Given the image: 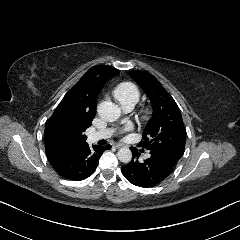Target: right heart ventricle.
Returning a JSON list of instances; mask_svg holds the SVG:
<instances>
[{"label": "right heart ventricle", "instance_id": "right-heart-ventricle-1", "mask_svg": "<svg viewBox=\"0 0 240 240\" xmlns=\"http://www.w3.org/2000/svg\"><path fill=\"white\" fill-rule=\"evenodd\" d=\"M113 94L122 107L128 105L134 106L140 99V91L132 83H123L117 86Z\"/></svg>", "mask_w": 240, "mask_h": 240}]
</instances>
